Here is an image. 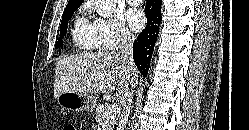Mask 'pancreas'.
I'll return each instance as SVG.
<instances>
[{"label": "pancreas", "mask_w": 249, "mask_h": 130, "mask_svg": "<svg viewBox=\"0 0 249 130\" xmlns=\"http://www.w3.org/2000/svg\"><path fill=\"white\" fill-rule=\"evenodd\" d=\"M110 107L109 104H99L96 107V112H95V119L98 122V126L104 127V130H113L116 119L114 118H109L105 119L103 117L104 112Z\"/></svg>", "instance_id": "pancreas-1"}]
</instances>
